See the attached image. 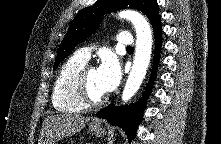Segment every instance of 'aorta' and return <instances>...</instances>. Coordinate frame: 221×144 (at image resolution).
<instances>
[{"instance_id":"aorta-1","label":"aorta","mask_w":221,"mask_h":144,"mask_svg":"<svg viewBox=\"0 0 221 144\" xmlns=\"http://www.w3.org/2000/svg\"><path fill=\"white\" fill-rule=\"evenodd\" d=\"M118 16L131 21L136 31L135 58L122 93L123 102H127L138 91L146 75L152 51V31L147 20L136 11L123 10Z\"/></svg>"}]
</instances>
